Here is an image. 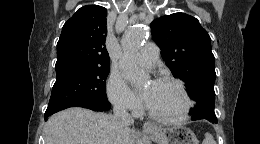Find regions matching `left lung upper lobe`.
<instances>
[{
	"label": "left lung upper lobe",
	"mask_w": 260,
	"mask_h": 144,
	"mask_svg": "<svg viewBox=\"0 0 260 144\" xmlns=\"http://www.w3.org/2000/svg\"><path fill=\"white\" fill-rule=\"evenodd\" d=\"M154 41L174 77L187 83L188 95L196 101L192 120L216 117V78L211 39L199 21L185 13H174L151 23Z\"/></svg>",
	"instance_id": "1"
}]
</instances>
